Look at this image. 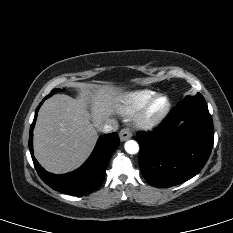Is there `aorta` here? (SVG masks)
Listing matches in <instances>:
<instances>
[{
	"mask_svg": "<svg viewBox=\"0 0 233 233\" xmlns=\"http://www.w3.org/2000/svg\"><path fill=\"white\" fill-rule=\"evenodd\" d=\"M125 151L129 154H136L139 151V145L134 140H128L124 145Z\"/></svg>",
	"mask_w": 233,
	"mask_h": 233,
	"instance_id": "1",
	"label": "aorta"
}]
</instances>
